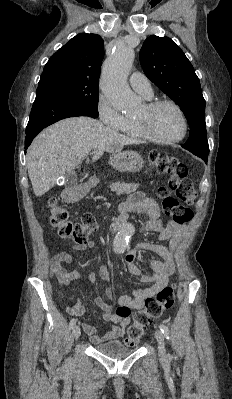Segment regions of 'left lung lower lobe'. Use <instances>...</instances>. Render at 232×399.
Listing matches in <instances>:
<instances>
[{"mask_svg": "<svg viewBox=\"0 0 232 399\" xmlns=\"http://www.w3.org/2000/svg\"><path fill=\"white\" fill-rule=\"evenodd\" d=\"M198 157H200V158H202L206 163H207V158H208V156L207 157H204V156H198Z\"/></svg>", "mask_w": 232, "mask_h": 399, "instance_id": "obj_1", "label": "left lung lower lobe"}]
</instances>
